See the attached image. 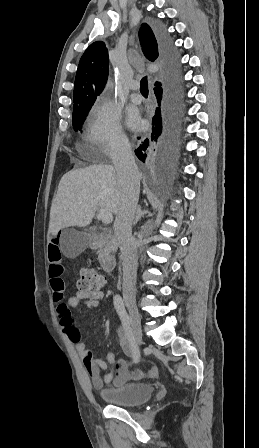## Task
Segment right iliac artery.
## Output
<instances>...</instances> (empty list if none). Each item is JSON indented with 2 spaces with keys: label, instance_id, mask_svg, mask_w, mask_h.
<instances>
[{
  "label": "right iliac artery",
  "instance_id": "right-iliac-artery-1",
  "mask_svg": "<svg viewBox=\"0 0 259 448\" xmlns=\"http://www.w3.org/2000/svg\"><path fill=\"white\" fill-rule=\"evenodd\" d=\"M114 307H115V309H116V311H117V313H118V315H119V317L121 319V322H122L125 334H126L128 340H129V342H130V344L132 346V349H133V361H134V363H138L140 361V351H139L138 345H137V343L135 341V338H134V335H133V332H132V329H131V326H130L131 319H130L129 315L126 312V309H125V306H124V303H123V300H122L121 296L118 295V294L115 295V297H114Z\"/></svg>",
  "mask_w": 259,
  "mask_h": 448
}]
</instances>
